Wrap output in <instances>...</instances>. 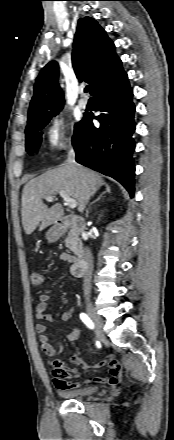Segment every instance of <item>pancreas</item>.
<instances>
[{
    "instance_id": "obj_1",
    "label": "pancreas",
    "mask_w": 174,
    "mask_h": 440,
    "mask_svg": "<svg viewBox=\"0 0 174 440\" xmlns=\"http://www.w3.org/2000/svg\"><path fill=\"white\" fill-rule=\"evenodd\" d=\"M66 247L71 251H75L78 245V237L72 232L68 233V236L65 239Z\"/></svg>"
}]
</instances>
